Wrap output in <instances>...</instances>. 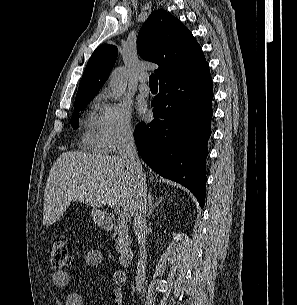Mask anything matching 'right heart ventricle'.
<instances>
[{
  "label": "right heart ventricle",
  "mask_w": 297,
  "mask_h": 305,
  "mask_svg": "<svg viewBox=\"0 0 297 305\" xmlns=\"http://www.w3.org/2000/svg\"><path fill=\"white\" fill-rule=\"evenodd\" d=\"M80 141L82 147L86 150L93 152H103L105 150L99 119L92 112L88 113L84 119Z\"/></svg>",
  "instance_id": "e07e8e85"
}]
</instances>
